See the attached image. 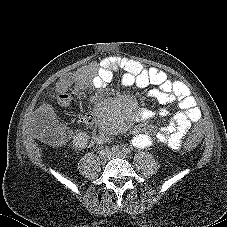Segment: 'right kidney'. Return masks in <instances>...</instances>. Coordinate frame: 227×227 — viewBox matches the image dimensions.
<instances>
[{
    "instance_id": "ca27d5eb",
    "label": "right kidney",
    "mask_w": 227,
    "mask_h": 227,
    "mask_svg": "<svg viewBox=\"0 0 227 227\" xmlns=\"http://www.w3.org/2000/svg\"><path fill=\"white\" fill-rule=\"evenodd\" d=\"M89 135L85 132H79L73 136L72 145L75 150H81L87 146Z\"/></svg>"
}]
</instances>
